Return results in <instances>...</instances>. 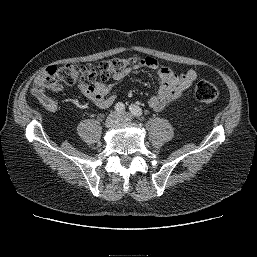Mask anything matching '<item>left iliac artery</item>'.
I'll list each match as a JSON object with an SVG mask.
<instances>
[{
  "label": "left iliac artery",
  "mask_w": 257,
  "mask_h": 257,
  "mask_svg": "<svg viewBox=\"0 0 257 257\" xmlns=\"http://www.w3.org/2000/svg\"><path fill=\"white\" fill-rule=\"evenodd\" d=\"M129 110L130 112L134 115V116H137V117H140L142 116V110L139 106H136V105H131L129 107Z\"/></svg>",
  "instance_id": "obj_1"
}]
</instances>
